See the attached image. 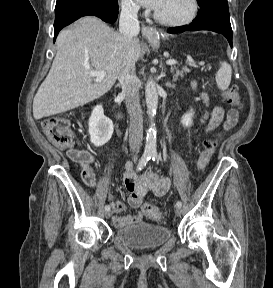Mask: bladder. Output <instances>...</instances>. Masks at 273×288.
Listing matches in <instances>:
<instances>
[{"mask_svg": "<svg viewBox=\"0 0 273 288\" xmlns=\"http://www.w3.org/2000/svg\"><path fill=\"white\" fill-rule=\"evenodd\" d=\"M171 237L172 233L167 227L149 223L126 225L115 232L119 243L137 250L161 247Z\"/></svg>", "mask_w": 273, "mask_h": 288, "instance_id": "bladder-1", "label": "bladder"}]
</instances>
